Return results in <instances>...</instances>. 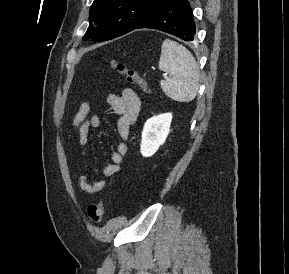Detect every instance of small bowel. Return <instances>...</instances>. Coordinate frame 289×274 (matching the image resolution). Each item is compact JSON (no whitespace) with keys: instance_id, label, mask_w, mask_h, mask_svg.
I'll use <instances>...</instances> for the list:
<instances>
[{"instance_id":"small-bowel-1","label":"small bowel","mask_w":289,"mask_h":274,"mask_svg":"<svg viewBox=\"0 0 289 274\" xmlns=\"http://www.w3.org/2000/svg\"><path fill=\"white\" fill-rule=\"evenodd\" d=\"M107 103L113 111L118 115L117 131L120 141L117 144L116 151L111 154L112 163L106 165L102 169V174L105 177H110L118 174L121 170L123 158L127 153L130 128L136 122L141 110V101L138 95L130 88L122 90L120 95L108 93L106 95ZM100 118L97 115L90 114V103L83 100L74 114L72 119L73 128L78 137V143L81 147L83 172L78 178L80 189L88 194H96L102 191L107 181L104 179H90L87 169V147L89 143L90 130L100 126Z\"/></svg>"}]
</instances>
